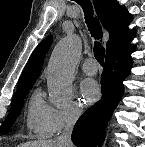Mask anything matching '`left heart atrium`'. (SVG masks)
<instances>
[{"label": "left heart atrium", "mask_w": 145, "mask_h": 147, "mask_svg": "<svg viewBox=\"0 0 145 147\" xmlns=\"http://www.w3.org/2000/svg\"><path fill=\"white\" fill-rule=\"evenodd\" d=\"M81 93L87 102H93L99 97V85L92 79H86L81 83Z\"/></svg>", "instance_id": "1"}]
</instances>
